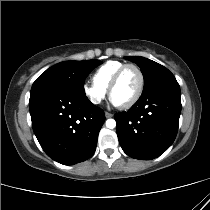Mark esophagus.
I'll use <instances>...</instances> for the list:
<instances>
[{
	"label": "esophagus",
	"instance_id": "34e87169",
	"mask_svg": "<svg viewBox=\"0 0 210 210\" xmlns=\"http://www.w3.org/2000/svg\"><path fill=\"white\" fill-rule=\"evenodd\" d=\"M113 116V114L109 113V112H105V117L106 118H111Z\"/></svg>",
	"mask_w": 210,
	"mask_h": 210
}]
</instances>
